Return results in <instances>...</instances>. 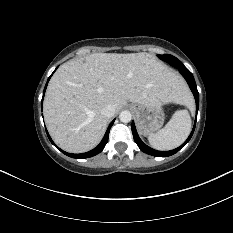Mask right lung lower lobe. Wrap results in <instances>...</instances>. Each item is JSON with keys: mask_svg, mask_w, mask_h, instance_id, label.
Listing matches in <instances>:
<instances>
[{"mask_svg": "<svg viewBox=\"0 0 233 233\" xmlns=\"http://www.w3.org/2000/svg\"><path fill=\"white\" fill-rule=\"evenodd\" d=\"M51 76H52V75H51ZM51 76L49 77V79L51 78ZM49 79H48V81H49ZM48 81H47V83H48ZM47 83H46V86H45V88H44L43 97H44V94H45V90H46V87H47ZM42 101H43V98H42ZM113 123H114V121H112V123L109 125V127H108V129H107V131H106V133H105V135H104L102 141L100 142V144H99L96 148H94L93 150H91V151H89V152H86V153H82V154H71V153H67V152L62 151L61 149H60V150H61L64 154H66L67 156L72 157V158H77V159L89 158V157H92V156L97 155L98 153H100V152L104 149V147H105V145H106V143H107V141H108L109 132H110V129H111ZM46 132H47V130H46ZM47 135H48V138H49V140L51 141V143H52L53 145H55L54 142L52 141L51 137L49 136L48 132H47ZM55 146H56V145H55ZM56 147H57V146H56Z\"/></svg>", "mask_w": 233, "mask_h": 233, "instance_id": "obj_1", "label": "right lung lower lobe"}]
</instances>
